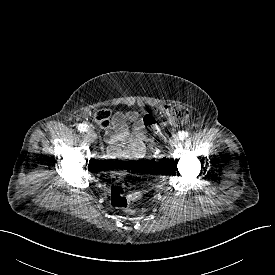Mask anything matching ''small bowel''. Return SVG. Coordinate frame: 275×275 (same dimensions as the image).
<instances>
[{
	"label": "small bowel",
	"instance_id": "obj_1",
	"mask_svg": "<svg viewBox=\"0 0 275 275\" xmlns=\"http://www.w3.org/2000/svg\"><path fill=\"white\" fill-rule=\"evenodd\" d=\"M147 117L151 116H141L135 111H118L113 116L111 125L105 132L107 154L110 158L117 156L131 158L143 153Z\"/></svg>",
	"mask_w": 275,
	"mask_h": 275
}]
</instances>
